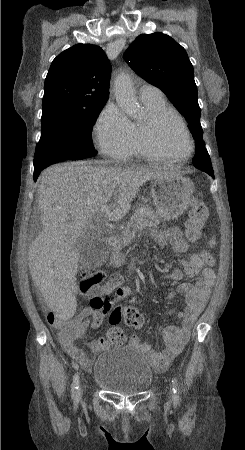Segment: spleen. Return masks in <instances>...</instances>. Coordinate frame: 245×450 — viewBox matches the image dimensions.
<instances>
[{
	"mask_svg": "<svg viewBox=\"0 0 245 450\" xmlns=\"http://www.w3.org/2000/svg\"><path fill=\"white\" fill-rule=\"evenodd\" d=\"M210 245H211V246L215 245V240H214V238H212V240L210 241Z\"/></svg>",
	"mask_w": 245,
	"mask_h": 450,
	"instance_id": "spleen-1",
	"label": "spleen"
}]
</instances>
